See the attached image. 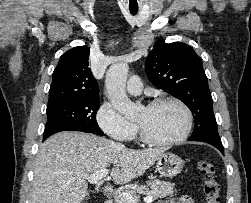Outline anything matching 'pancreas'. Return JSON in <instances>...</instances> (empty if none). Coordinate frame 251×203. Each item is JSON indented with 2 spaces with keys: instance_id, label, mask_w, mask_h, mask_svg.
I'll use <instances>...</instances> for the list:
<instances>
[{
  "instance_id": "pancreas-1",
  "label": "pancreas",
  "mask_w": 251,
  "mask_h": 203,
  "mask_svg": "<svg viewBox=\"0 0 251 203\" xmlns=\"http://www.w3.org/2000/svg\"><path fill=\"white\" fill-rule=\"evenodd\" d=\"M147 186L150 187V190L145 186L140 188L144 190V193L151 195L154 199L164 198L168 195L173 194V184L161 180H152L147 182ZM126 192L131 195L136 196V191L134 189H127ZM115 203H128L124 198H115Z\"/></svg>"
}]
</instances>
